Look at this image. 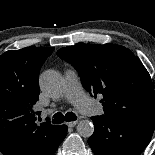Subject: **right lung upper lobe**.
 Returning <instances> with one entry per match:
<instances>
[{"instance_id": "cb5924a9", "label": "right lung upper lobe", "mask_w": 155, "mask_h": 155, "mask_svg": "<svg viewBox=\"0 0 155 155\" xmlns=\"http://www.w3.org/2000/svg\"><path fill=\"white\" fill-rule=\"evenodd\" d=\"M52 47H27L0 56V152L3 155H53L64 127L37 124L39 71Z\"/></svg>"}]
</instances>
